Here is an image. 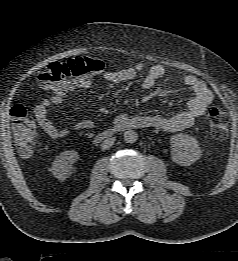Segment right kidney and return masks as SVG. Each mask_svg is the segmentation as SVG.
Instances as JSON below:
<instances>
[{
    "label": "right kidney",
    "mask_w": 238,
    "mask_h": 261,
    "mask_svg": "<svg viewBox=\"0 0 238 261\" xmlns=\"http://www.w3.org/2000/svg\"><path fill=\"white\" fill-rule=\"evenodd\" d=\"M79 158L78 152L67 150L53 162L51 171L54 177L63 181L72 173V164Z\"/></svg>",
    "instance_id": "right-kidney-1"
}]
</instances>
